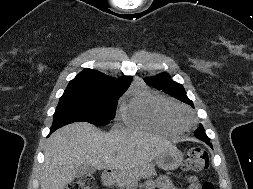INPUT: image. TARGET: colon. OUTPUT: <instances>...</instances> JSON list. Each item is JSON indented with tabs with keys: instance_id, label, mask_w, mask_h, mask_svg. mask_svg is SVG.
I'll list each match as a JSON object with an SVG mask.
<instances>
[{
	"instance_id": "5ec220e1",
	"label": "colon",
	"mask_w": 253,
	"mask_h": 189,
	"mask_svg": "<svg viewBox=\"0 0 253 189\" xmlns=\"http://www.w3.org/2000/svg\"><path fill=\"white\" fill-rule=\"evenodd\" d=\"M209 167V154L201 147L191 148L186 156L183 168L187 171H202ZM93 177L84 176L67 185L65 189H92ZM202 189H215L214 184L206 181L202 185Z\"/></svg>"
}]
</instances>
